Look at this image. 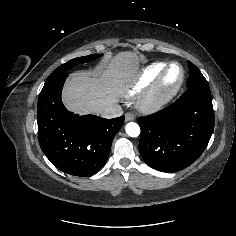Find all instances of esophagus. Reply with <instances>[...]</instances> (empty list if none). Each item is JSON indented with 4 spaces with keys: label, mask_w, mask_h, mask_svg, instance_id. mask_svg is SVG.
<instances>
[{
    "label": "esophagus",
    "mask_w": 236,
    "mask_h": 236,
    "mask_svg": "<svg viewBox=\"0 0 236 236\" xmlns=\"http://www.w3.org/2000/svg\"><path fill=\"white\" fill-rule=\"evenodd\" d=\"M135 119V115L133 113H126L125 114V121H133Z\"/></svg>",
    "instance_id": "1"
}]
</instances>
